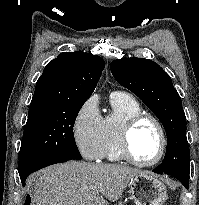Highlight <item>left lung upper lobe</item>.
Wrapping results in <instances>:
<instances>
[{"mask_svg": "<svg viewBox=\"0 0 199 205\" xmlns=\"http://www.w3.org/2000/svg\"><path fill=\"white\" fill-rule=\"evenodd\" d=\"M110 69L117 82L136 94L165 128L167 150L164 160L154 171L189 180L186 117L170 76L154 61L136 57L114 60Z\"/></svg>", "mask_w": 199, "mask_h": 205, "instance_id": "obj_1", "label": "left lung upper lobe"}]
</instances>
